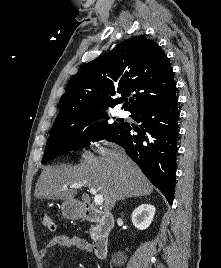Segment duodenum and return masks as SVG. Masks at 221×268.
<instances>
[{"label": "duodenum", "instance_id": "obj_1", "mask_svg": "<svg viewBox=\"0 0 221 268\" xmlns=\"http://www.w3.org/2000/svg\"><path fill=\"white\" fill-rule=\"evenodd\" d=\"M81 215L83 219L97 223L98 230L92 248L96 257L104 258L108 249L109 234L114 226L113 216L88 205L83 207Z\"/></svg>", "mask_w": 221, "mask_h": 268}]
</instances>
